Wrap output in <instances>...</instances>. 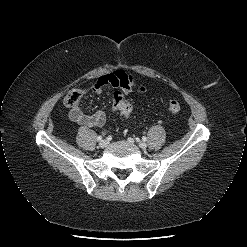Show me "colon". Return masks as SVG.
Wrapping results in <instances>:
<instances>
[{"label": "colon", "instance_id": "5ec220e1", "mask_svg": "<svg viewBox=\"0 0 247 247\" xmlns=\"http://www.w3.org/2000/svg\"><path fill=\"white\" fill-rule=\"evenodd\" d=\"M82 93L79 90H71L64 98V104L68 108H76L80 102ZM165 109L170 113H177L180 110V103L177 99L171 97L164 101ZM112 111L120 113L124 117H129L132 112V106L124 101L120 92H115L112 98Z\"/></svg>", "mask_w": 247, "mask_h": 247}]
</instances>
